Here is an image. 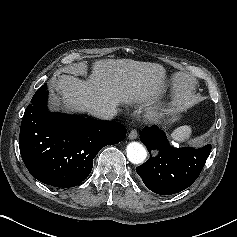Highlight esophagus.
I'll use <instances>...</instances> for the list:
<instances>
[{
    "instance_id": "34e87169",
    "label": "esophagus",
    "mask_w": 237,
    "mask_h": 237,
    "mask_svg": "<svg viewBox=\"0 0 237 237\" xmlns=\"http://www.w3.org/2000/svg\"><path fill=\"white\" fill-rule=\"evenodd\" d=\"M137 136H138L137 130L134 129V128H132V129L130 130V132L128 133V139H130V140L136 139Z\"/></svg>"
}]
</instances>
